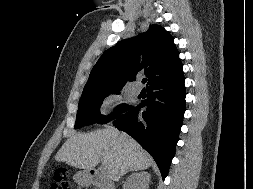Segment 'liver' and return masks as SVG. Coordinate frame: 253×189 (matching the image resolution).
<instances>
[{"instance_id":"6515ba94","label":"liver","mask_w":253,"mask_h":189,"mask_svg":"<svg viewBox=\"0 0 253 189\" xmlns=\"http://www.w3.org/2000/svg\"><path fill=\"white\" fill-rule=\"evenodd\" d=\"M55 159L86 170L102 162L111 181H118L129 171L145 170L153 162L133 138L112 127L71 136Z\"/></svg>"}]
</instances>
